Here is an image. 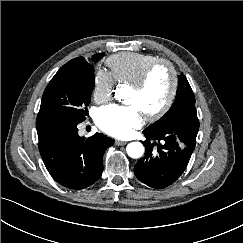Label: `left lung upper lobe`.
<instances>
[{"label": "left lung upper lobe", "mask_w": 243, "mask_h": 243, "mask_svg": "<svg viewBox=\"0 0 243 243\" xmlns=\"http://www.w3.org/2000/svg\"><path fill=\"white\" fill-rule=\"evenodd\" d=\"M179 125L191 126L196 139L199 120L195 110V97L183 74L178 78L176 99L171 108L162 118L148 126L144 131L157 133L168 129H175Z\"/></svg>", "instance_id": "left-lung-upper-lobe-1"}]
</instances>
